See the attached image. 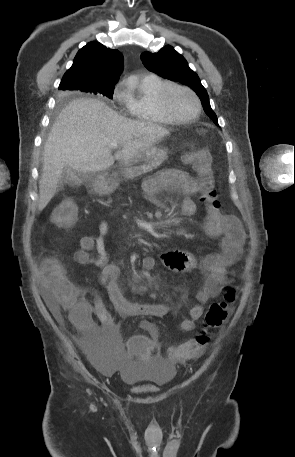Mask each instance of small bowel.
I'll list each match as a JSON object with an SVG mask.
<instances>
[{
  "label": "small bowel",
  "mask_w": 295,
  "mask_h": 457,
  "mask_svg": "<svg viewBox=\"0 0 295 457\" xmlns=\"http://www.w3.org/2000/svg\"><path fill=\"white\" fill-rule=\"evenodd\" d=\"M162 191H177L183 194V211L186 215L194 214L196 206L192 196L197 193L198 185L194 178L186 172L177 169H168L157 173L144 183L143 197L148 202L164 207V203L158 198ZM207 216L204 225L206 233L211 237L220 238L219 253L209 254L200 262L185 251L168 250L161 254L162 263L177 272H190L201 269L206 277L203 287L197 292L198 301L189 311V318L180 323V329L188 332L195 328L196 322L204 314V304L210 299L217 297L222 289L227 286V268L235 264L243 252L245 243V232L240 221L232 215H225L209 207L206 208ZM109 235V225L103 221L99 226V232L96 237L83 236L79 241V248L74 253V259L81 265H95L102 268L99 282L103 285L108 293L109 299L115 310L129 317H155L162 318L168 315L171 307L166 303L140 304L127 300L120 288L119 277L120 268L116 264H108V252L105 241ZM97 252L93 257L92 252ZM156 264V259L146 257L143 259V266L151 270ZM42 284L45 292L46 303L53 315L61 320L60 304L51 289V278L42 274ZM93 300L87 301L81 299V309L77 320H71L79 332V338H112L116 335L117 327L111 313L105 307L102 299L93 294ZM92 314H95L99 324H97ZM141 328L147 330L151 337L149 341L154 342V351L160 348L157 339V328L149 320L141 322ZM129 341V340H128ZM173 348V347H172ZM169 348L168 351H171ZM202 354H198L199 357ZM173 362L175 360H169Z\"/></svg>",
  "instance_id": "small-bowel-1"
}]
</instances>
